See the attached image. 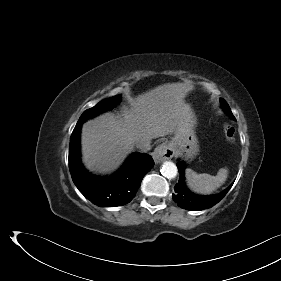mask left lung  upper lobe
Segmentation results:
<instances>
[{"mask_svg":"<svg viewBox=\"0 0 281 281\" xmlns=\"http://www.w3.org/2000/svg\"><path fill=\"white\" fill-rule=\"evenodd\" d=\"M221 104H222V107L224 108V110H226V112H227L233 119H235L234 116H233V114H232V112H231V110H230V107L228 106V104L225 102L224 99H221Z\"/></svg>","mask_w":281,"mask_h":281,"instance_id":"5c2ea615","label":"left lung upper lobe"}]
</instances>
